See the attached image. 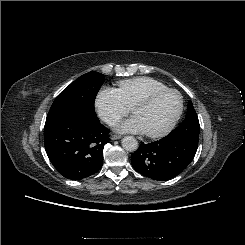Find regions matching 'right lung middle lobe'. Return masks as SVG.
Here are the masks:
<instances>
[{
  "instance_id": "1",
  "label": "right lung middle lobe",
  "mask_w": 245,
  "mask_h": 245,
  "mask_svg": "<svg viewBox=\"0 0 245 245\" xmlns=\"http://www.w3.org/2000/svg\"><path fill=\"white\" fill-rule=\"evenodd\" d=\"M104 82V75L89 72L67 86L54 100L47 116L71 113L98 120L94 101Z\"/></svg>"
}]
</instances>
